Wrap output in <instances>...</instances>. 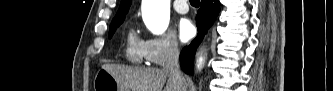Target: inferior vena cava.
Segmentation results:
<instances>
[{
    "mask_svg": "<svg viewBox=\"0 0 333 91\" xmlns=\"http://www.w3.org/2000/svg\"><path fill=\"white\" fill-rule=\"evenodd\" d=\"M163 71L169 75V78L183 83L184 78L179 67V50L176 42L171 43L167 48L165 61L163 63Z\"/></svg>",
    "mask_w": 333,
    "mask_h": 91,
    "instance_id": "1",
    "label": "inferior vena cava"
}]
</instances>
